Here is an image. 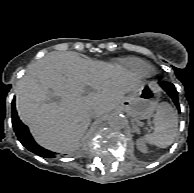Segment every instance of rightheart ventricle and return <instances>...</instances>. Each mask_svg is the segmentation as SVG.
Here are the masks:
<instances>
[{"label":"right heart ventricle","mask_w":194,"mask_h":193,"mask_svg":"<svg viewBox=\"0 0 194 193\" xmlns=\"http://www.w3.org/2000/svg\"><path fill=\"white\" fill-rule=\"evenodd\" d=\"M121 64L131 75L142 78L152 73V68L149 63L138 58H126L121 61Z\"/></svg>","instance_id":"e07e8e85"}]
</instances>
